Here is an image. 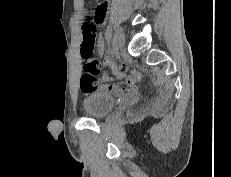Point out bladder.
Wrapping results in <instances>:
<instances>
[{"instance_id": "31cf9c89", "label": "bladder", "mask_w": 231, "mask_h": 177, "mask_svg": "<svg viewBox=\"0 0 231 177\" xmlns=\"http://www.w3.org/2000/svg\"><path fill=\"white\" fill-rule=\"evenodd\" d=\"M115 105V98L106 93H91L83 100V112L86 117L101 119L107 116Z\"/></svg>"}]
</instances>
